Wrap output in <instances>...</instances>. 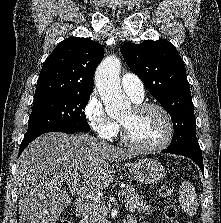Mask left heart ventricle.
I'll return each instance as SVG.
<instances>
[{
  "instance_id": "1",
  "label": "left heart ventricle",
  "mask_w": 221,
  "mask_h": 223,
  "mask_svg": "<svg viewBox=\"0 0 221 223\" xmlns=\"http://www.w3.org/2000/svg\"><path fill=\"white\" fill-rule=\"evenodd\" d=\"M119 120L127 127L131 139L137 143L156 145L166 136V120L157 110L136 112L131 108Z\"/></svg>"
}]
</instances>
